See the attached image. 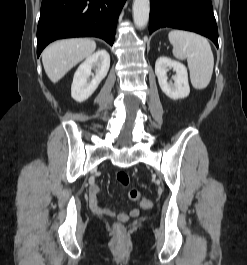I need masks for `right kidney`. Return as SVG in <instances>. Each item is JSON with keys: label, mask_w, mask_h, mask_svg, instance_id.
<instances>
[{"label": "right kidney", "mask_w": 247, "mask_h": 265, "mask_svg": "<svg viewBox=\"0 0 247 265\" xmlns=\"http://www.w3.org/2000/svg\"><path fill=\"white\" fill-rule=\"evenodd\" d=\"M109 67L110 56L105 49L98 50L87 57L74 74L71 86L72 98L77 102L87 100L106 77ZM92 70L95 71V75ZM91 76L92 79L90 80Z\"/></svg>", "instance_id": "obj_1"}]
</instances>
